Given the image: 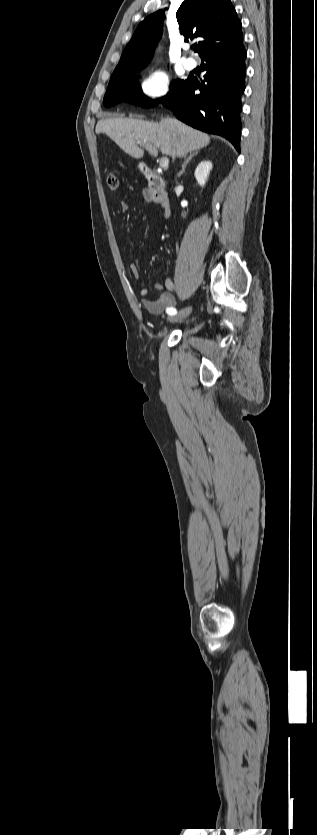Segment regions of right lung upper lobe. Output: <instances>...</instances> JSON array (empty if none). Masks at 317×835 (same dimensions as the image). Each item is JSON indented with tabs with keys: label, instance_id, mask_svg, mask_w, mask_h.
I'll use <instances>...</instances> for the list:
<instances>
[{
	"label": "right lung upper lobe",
	"instance_id": "cb5924a9",
	"mask_svg": "<svg viewBox=\"0 0 317 835\" xmlns=\"http://www.w3.org/2000/svg\"><path fill=\"white\" fill-rule=\"evenodd\" d=\"M176 17L185 41L201 38L195 49L201 56L207 49L242 37V25L230 0H184ZM164 11L146 17L125 47L115 70H141L151 60L161 38Z\"/></svg>",
	"mask_w": 317,
	"mask_h": 835
}]
</instances>
